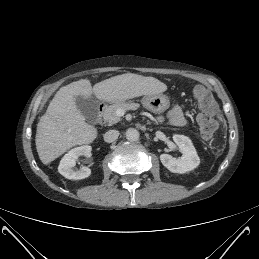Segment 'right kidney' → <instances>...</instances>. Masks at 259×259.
<instances>
[{"label":"right kidney","instance_id":"ca27d5eb","mask_svg":"<svg viewBox=\"0 0 259 259\" xmlns=\"http://www.w3.org/2000/svg\"><path fill=\"white\" fill-rule=\"evenodd\" d=\"M92 148L89 145H83L71 149L64 157L61 159L58 166V171L67 179L81 180L89 177L91 175V169L84 166L78 171H74L72 168L76 165V160L80 156H87L90 154Z\"/></svg>","mask_w":259,"mask_h":259}]
</instances>
